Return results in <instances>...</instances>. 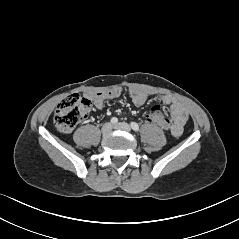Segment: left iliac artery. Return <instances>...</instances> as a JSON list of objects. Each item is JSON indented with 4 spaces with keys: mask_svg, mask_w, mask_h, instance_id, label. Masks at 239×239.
<instances>
[{
    "mask_svg": "<svg viewBox=\"0 0 239 239\" xmlns=\"http://www.w3.org/2000/svg\"><path fill=\"white\" fill-rule=\"evenodd\" d=\"M131 128L134 130V131H139V125L136 123V122H131Z\"/></svg>",
    "mask_w": 239,
    "mask_h": 239,
    "instance_id": "44dca946",
    "label": "left iliac artery"
}]
</instances>
